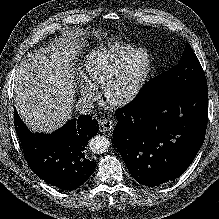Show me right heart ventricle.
<instances>
[{
	"label": "right heart ventricle",
	"mask_w": 219,
	"mask_h": 219,
	"mask_svg": "<svg viewBox=\"0 0 219 219\" xmlns=\"http://www.w3.org/2000/svg\"><path fill=\"white\" fill-rule=\"evenodd\" d=\"M138 50L129 44H112L89 52L80 64L83 83L93 89L102 85L113 67L124 57Z\"/></svg>",
	"instance_id": "obj_1"
}]
</instances>
